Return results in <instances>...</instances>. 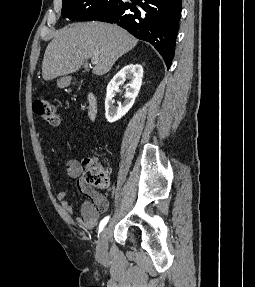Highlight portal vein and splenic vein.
I'll return each mask as SVG.
<instances>
[{"instance_id":"1","label":"portal vein and splenic vein","mask_w":255,"mask_h":287,"mask_svg":"<svg viewBox=\"0 0 255 287\" xmlns=\"http://www.w3.org/2000/svg\"><path fill=\"white\" fill-rule=\"evenodd\" d=\"M91 62L92 64H98V58H92Z\"/></svg>"}]
</instances>
